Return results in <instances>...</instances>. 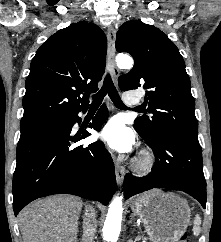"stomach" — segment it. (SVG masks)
Wrapping results in <instances>:
<instances>
[{
	"instance_id": "1",
	"label": "stomach",
	"mask_w": 221,
	"mask_h": 242,
	"mask_svg": "<svg viewBox=\"0 0 221 242\" xmlns=\"http://www.w3.org/2000/svg\"><path fill=\"white\" fill-rule=\"evenodd\" d=\"M152 242H176L190 221L188 203L177 195L151 190L131 202Z\"/></svg>"
}]
</instances>
